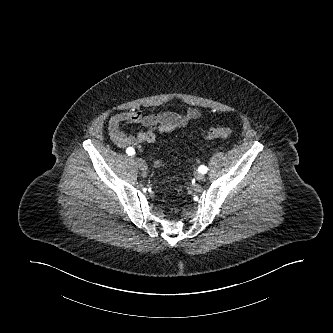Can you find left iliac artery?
<instances>
[{
  "instance_id": "left-iliac-artery-1",
  "label": "left iliac artery",
  "mask_w": 333,
  "mask_h": 333,
  "mask_svg": "<svg viewBox=\"0 0 333 333\" xmlns=\"http://www.w3.org/2000/svg\"><path fill=\"white\" fill-rule=\"evenodd\" d=\"M198 171L202 174H205L208 171V168L206 166L202 165L198 168Z\"/></svg>"
}]
</instances>
